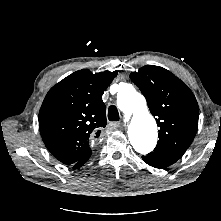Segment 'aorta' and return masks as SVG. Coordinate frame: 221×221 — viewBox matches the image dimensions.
Returning <instances> with one entry per match:
<instances>
[{
	"instance_id": "aorta-1",
	"label": "aorta",
	"mask_w": 221,
	"mask_h": 221,
	"mask_svg": "<svg viewBox=\"0 0 221 221\" xmlns=\"http://www.w3.org/2000/svg\"><path fill=\"white\" fill-rule=\"evenodd\" d=\"M117 105L129 119L128 136L134 150L142 155L150 153L156 146L158 132L144 97L131 85L125 84L118 95Z\"/></svg>"
}]
</instances>
